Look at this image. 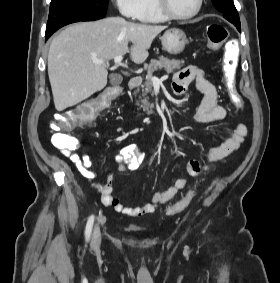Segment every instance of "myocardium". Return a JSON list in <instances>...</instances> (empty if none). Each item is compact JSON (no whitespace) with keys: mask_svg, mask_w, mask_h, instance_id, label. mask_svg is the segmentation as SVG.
Instances as JSON below:
<instances>
[{"mask_svg":"<svg viewBox=\"0 0 280 283\" xmlns=\"http://www.w3.org/2000/svg\"><path fill=\"white\" fill-rule=\"evenodd\" d=\"M155 5L159 11V13L167 20H174V21H182L194 18L199 14L203 6V0H197L196 8L188 14L179 15L174 13L169 5L167 0H155Z\"/></svg>","mask_w":280,"mask_h":283,"instance_id":"myocardium-1","label":"myocardium"}]
</instances>
